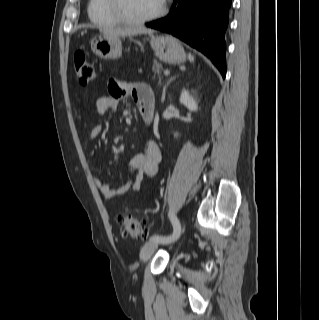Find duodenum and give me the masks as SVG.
Returning a JSON list of instances; mask_svg holds the SVG:
<instances>
[{"mask_svg":"<svg viewBox=\"0 0 319 320\" xmlns=\"http://www.w3.org/2000/svg\"><path fill=\"white\" fill-rule=\"evenodd\" d=\"M153 112L154 111H150L148 109H143L142 111H140L142 118L144 119V121L146 123L151 122L152 118H153Z\"/></svg>","mask_w":319,"mask_h":320,"instance_id":"duodenum-1","label":"duodenum"}]
</instances>
